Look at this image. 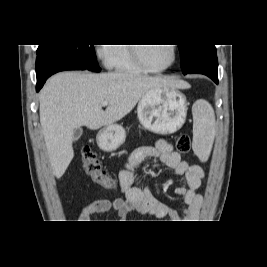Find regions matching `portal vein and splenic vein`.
<instances>
[{"label":"portal vein and splenic vein","instance_id":"obj_1","mask_svg":"<svg viewBox=\"0 0 267 267\" xmlns=\"http://www.w3.org/2000/svg\"><path fill=\"white\" fill-rule=\"evenodd\" d=\"M107 105H108L107 101L102 102V106H107Z\"/></svg>","mask_w":267,"mask_h":267}]
</instances>
